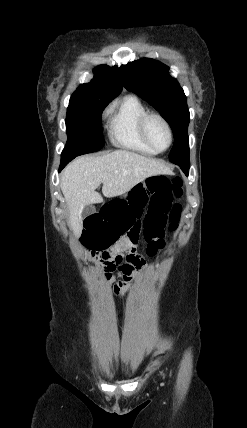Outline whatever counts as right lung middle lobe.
Instances as JSON below:
<instances>
[{
  "label": "right lung middle lobe",
  "mask_w": 247,
  "mask_h": 428,
  "mask_svg": "<svg viewBox=\"0 0 247 428\" xmlns=\"http://www.w3.org/2000/svg\"><path fill=\"white\" fill-rule=\"evenodd\" d=\"M109 102L87 95L71 96L65 121L68 140L61 158L96 152L103 147L101 115Z\"/></svg>",
  "instance_id": "1"
}]
</instances>
